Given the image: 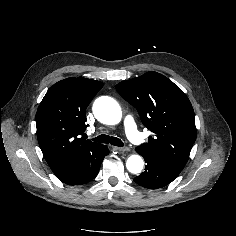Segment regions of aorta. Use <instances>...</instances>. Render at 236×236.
Returning <instances> with one entry per match:
<instances>
[{"label":"aorta","instance_id":"aorta-1","mask_svg":"<svg viewBox=\"0 0 236 236\" xmlns=\"http://www.w3.org/2000/svg\"><path fill=\"white\" fill-rule=\"evenodd\" d=\"M94 115L102 123L115 125L120 122L122 111L120 105L111 97L103 96L98 98L93 105ZM144 166L143 159L139 155H131L127 158L126 167L129 172L138 174Z\"/></svg>","mask_w":236,"mask_h":236}]
</instances>
